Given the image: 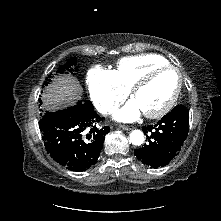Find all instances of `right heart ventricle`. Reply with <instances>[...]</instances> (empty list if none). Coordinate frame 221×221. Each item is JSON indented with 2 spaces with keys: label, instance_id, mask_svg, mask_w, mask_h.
<instances>
[{
  "label": "right heart ventricle",
  "instance_id": "obj_1",
  "mask_svg": "<svg viewBox=\"0 0 221 221\" xmlns=\"http://www.w3.org/2000/svg\"><path fill=\"white\" fill-rule=\"evenodd\" d=\"M167 64L169 62L160 55L143 54L120 59L113 72L121 85L129 91L135 82L149 69Z\"/></svg>",
  "mask_w": 221,
  "mask_h": 221
}]
</instances>
